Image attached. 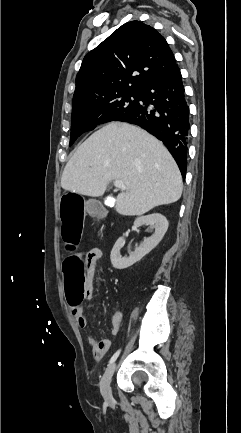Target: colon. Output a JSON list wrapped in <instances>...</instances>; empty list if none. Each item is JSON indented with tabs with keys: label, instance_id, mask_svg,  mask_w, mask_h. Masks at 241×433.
<instances>
[{
	"label": "colon",
	"instance_id": "obj_1",
	"mask_svg": "<svg viewBox=\"0 0 241 433\" xmlns=\"http://www.w3.org/2000/svg\"><path fill=\"white\" fill-rule=\"evenodd\" d=\"M81 192H60V218L62 243L68 254L74 250L77 243H81L86 228V221L82 214H107V205H100L98 200H82ZM63 273L62 288L67 299L65 305H80L86 295V272L81 259L77 256L61 258Z\"/></svg>",
	"mask_w": 241,
	"mask_h": 433
}]
</instances>
